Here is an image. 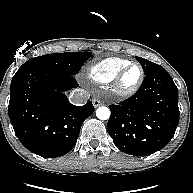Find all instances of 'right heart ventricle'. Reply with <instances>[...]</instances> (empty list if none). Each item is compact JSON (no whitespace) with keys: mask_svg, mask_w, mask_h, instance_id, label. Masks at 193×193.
Masks as SVG:
<instances>
[{"mask_svg":"<svg viewBox=\"0 0 193 193\" xmlns=\"http://www.w3.org/2000/svg\"><path fill=\"white\" fill-rule=\"evenodd\" d=\"M130 61L120 57H108L90 64L86 70L87 78L95 84L112 82L120 69Z\"/></svg>","mask_w":193,"mask_h":193,"instance_id":"right-heart-ventricle-1","label":"right heart ventricle"}]
</instances>
